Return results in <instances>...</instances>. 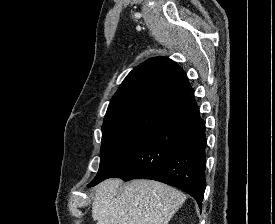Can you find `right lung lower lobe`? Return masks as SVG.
<instances>
[{"label":"right lung lower lobe","instance_id":"right-lung-lower-lobe-1","mask_svg":"<svg viewBox=\"0 0 275 224\" xmlns=\"http://www.w3.org/2000/svg\"><path fill=\"white\" fill-rule=\"evenodd\" d=\"M205 149V122L191 94L162 115L108 178L160 181L187 192L201 207L206 187Z\"/></svg>","mask_w":275,"mask_h":224}]
</instances>
